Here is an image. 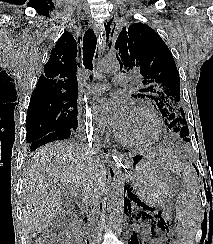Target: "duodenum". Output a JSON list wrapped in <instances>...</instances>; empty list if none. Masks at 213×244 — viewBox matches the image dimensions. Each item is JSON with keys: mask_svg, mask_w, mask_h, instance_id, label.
I'll use <instances>...</instances> for the list:
<instances>
[{"mask_svg": "<svg viewBox=\"0 0 213 244\" xmlns=\"http://www.w3.org/2000/svg\"><path fill=\"white\" fill-rule=\"evenodd\" d=\"M94 217H95V211L93 208H91V209H88V211H86V214L82 217V220L85 223L89 224L92 221V219H94ZM78 243H79L78 241L72 242V244H78Z\"/></svg>", "mask_w": 213, "mask_h": 244, "instance_id": "obj_1", "label": "duodenum"}]
</instances>
